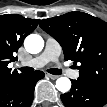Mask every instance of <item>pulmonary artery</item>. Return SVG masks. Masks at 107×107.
<instances>
[{
  "label": "pulmonary artery",
  "instance_id": "1",
  "mask_svg": "<svg viewBox=\"0 0 107 107\" xmlns=\"http://www.w3.org/2000/svg\"><path fill=\"white\" fill-rule=\"evenodd\" d=\"M59 54H60L59 45L54 40L49 39L43 53L40 56L33 59L31 61V65H33L35 67H41V66L45 65L46 63H48L49 61L56 60L57 57L59 56ZM72 75H73V77H77L78 72L75 71L72 73Z\"/></svg>",
  "mask_w": 107,
  "mask_h": 107
}]
</instances>
